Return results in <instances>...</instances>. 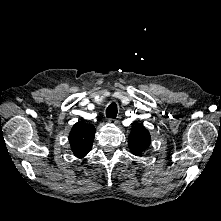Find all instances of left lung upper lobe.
Instances as JSON below:
<instances>
[{
  "label": "left lung upper lobe",
  "mask_w": 221,
  "mask_h": 221,
  "mask_svg": "<svg viewBox=\"0 0 221 221\" xmlns=\"http://www.w3.org/2000/svg\"><path fill=\"white\" fill-rule=\"evenodd\" d=\"M151 137L148 130L141 124L132 126L128 137V145L132 154L141 156L150 146Z\"/></svg>",
  "instance_id": "1"
}]
</instances>
